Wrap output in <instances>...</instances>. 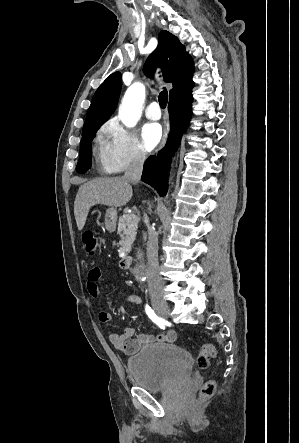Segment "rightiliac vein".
Returning a JSON list of instances; mask_svg holds the SVG:
<instances>
[{"label":"right iliac vein","mask_w":299,"mask_h":443,"mask_svg":"<svg viewBox=\"0 0 299 443\" xmlns=\"http://www.w3.org/2000/svg\"><path fill=\"white\" fill-rule=\"evenodd\" d=\"M154 309L163 317H168L170 315V307L166 302H155Z\"/></svg>","instance_id":"1"}]
</instances>
